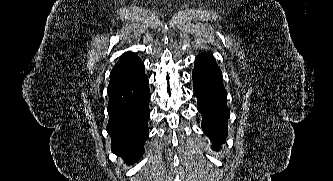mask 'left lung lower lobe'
<instances>
[{
    "label": "left lung lower lobe",
    "instance_id": "1",
    "mask_svg": "<svg viewBox=\"0 0 333 181\" xmlns=\"http://www.w3.org/2000/svg\"><path fill=\"white\" fill-rule=\"evenodd\" d=\"M192 78L198 110L203 117V131L218 146L226 139L230 111L221 70L210 53L196 57Z\"/></svg>",
    "mask_w": 333,
    "mask_h": 181
}]
</instances>
